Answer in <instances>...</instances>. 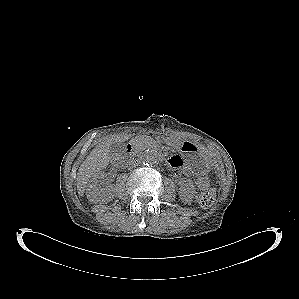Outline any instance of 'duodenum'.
<instances>
[{
    "mask_svg": "<svg viewBox=\"0 0 299 299\" xmlns=\"http://www.w3.org/2000/svg\"><path fill=\"white\" fill-rule=\"evenodd\" d=\"M126 151H127V153H128L129 155L134 154V152H135V145H134V143H129V144L127 145Z\"/></svg>",
    "mask_w": 299,
    "mask_h": 299,
    "instance_id": "410a0bca",
    "label": "duodenum"
}]
</instances>
